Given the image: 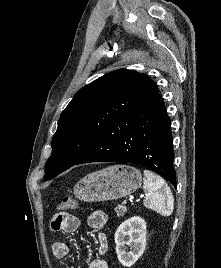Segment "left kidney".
Returning a JSON list of instances; mask_svg holds the SVG:
<instances>
[{
  "mask_svg": "<svg viewBox=\"0 0 221 268\" xmlns=\"http://www.w3.org/2000/svg\"><path fill=\"white\" fill-rule=\"evenodd\" d=\"M114 239L119 262L125 267H131L145 250V220L136 216L124 221L116 230ZM127 246L130 247V251Z\"/></svg>",
  "mask_w": 221,
  "mask_h": 268,
  "instance_id": "obj_1",
  "label": "left kidney"
}]
</instances>
